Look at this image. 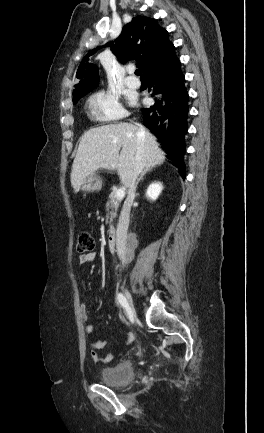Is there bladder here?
Here are the masks:
<instances>
[{"label":"bladder","mask_w":264,"mask_h":433,"mask_svg":"<svg viewBox=\"0 0 264 433\" xmlns=\"http://www.w3.org/2000/svg\"><path fill=\"white\" fill-rule=\"evenodd\" d=\"M133 378V364L123 362L116 366L104 368L100 374L101 383L112 387L127 386Z\"/></svg>","instance_id":"31cf9c89"}]
</instances>
